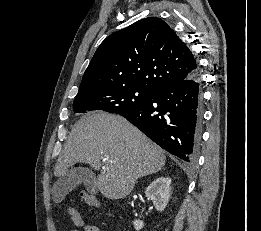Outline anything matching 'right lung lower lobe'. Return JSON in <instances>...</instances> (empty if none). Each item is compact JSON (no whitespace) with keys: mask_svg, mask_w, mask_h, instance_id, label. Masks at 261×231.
<instances>
[{"mask_svg":"<svg viewBox=\"0 0 261 231\" xmlns=\"http://www.w3.org/2000/svg\"><path fill=\"white\" fill-rule=\"evenodd\" d=\"M121 116L169 153L195 161L202 121L199 73L156 90L147 104Z\"/></svg>","mask_w":261,"mask_h":231,"instance_id":"obj_1","label":"right lung lower lobe"}]
</instances>
